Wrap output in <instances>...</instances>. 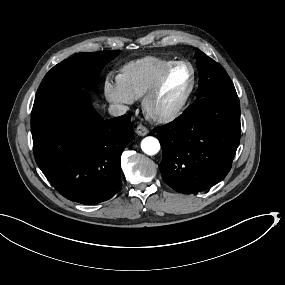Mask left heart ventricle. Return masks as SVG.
Instances as JSON below:
<instances>
[{
	"mask_svg": "<svg viewBox=\"0 0 285 285\" xmlns=\"http://www.w3.org/2000/svg\"><path fill=\"white\" fill-rule=\"evenodd\" d=\"M188 85V80L183 73L173 74L162 90L153 97L148 112L153 115H158L175 107L181 101Z\"/></svg>",
	"mask_w": 285,
	"mask_h": 285,
	"instance_id": "1",
	"label": "left heart ventricle"
}]
</instances>
